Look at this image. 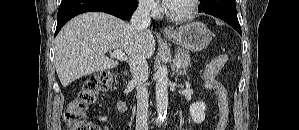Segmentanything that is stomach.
<instances>
[{"instance_id": "obj_1", "label": "stomach", "mask_w": 299, "mask_h": 130, "mask_svg": "<svg viewBox=\"0 0 299 130\" xmlns=\"http://www.w3.org/2000/svg\"><path fill=\"white\" fill-rule=\"evenodd\" d=\"M166 38L188 51L199 52L212 40V34L202 22H191L167 34Z\"/></svg>"}]
</instances>
